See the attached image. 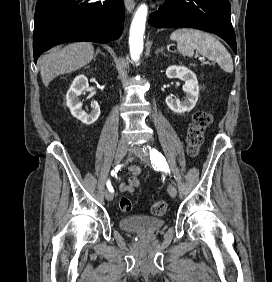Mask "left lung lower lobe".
<instances>
[{
    "mask_svg": "<svg viewBox=\"0 0 272 282\" xmlns=\"http://www.w3.org/2000/svg\"><path fill=\"white\" fill-rule=\"evenodd\" d=\"M156 28H197L214 33L237 51L228 0H166L150 15Z\"/></svg>",
    "mask_w": 272,
    "mask_h": 282,
    "instance_id": "left-lung-lower-lobe-1",
    "label": "left lung lower lobe"
}]
</instances>
